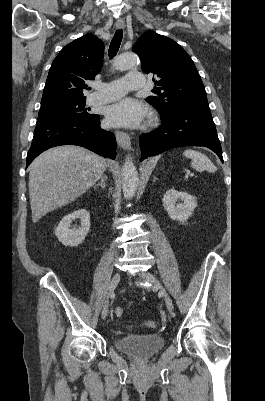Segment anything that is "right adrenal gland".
I'll return each mask as SVG.
<instances>
[{"mask_svg":"<svg viewBox=\"0 0 265 401\" xmlns=\"http://www.w3.org/2000/svg\"><path fill=\"white\" fill-rule=\"evenodd\" d=\"M106 178H107L106 174L105 176H101L100 182H98V184H93V188H95V190L96 188H98V186H101V188H106V182H105Z\"/></svg>","mask_w":265,"mask_h":401,"instance_id":"1","label":"right adrenal gland"}]
</instances>
